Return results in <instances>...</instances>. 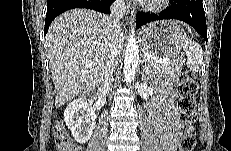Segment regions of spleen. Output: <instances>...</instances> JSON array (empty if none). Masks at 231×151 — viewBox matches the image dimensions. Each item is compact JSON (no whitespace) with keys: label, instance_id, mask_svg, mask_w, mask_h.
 Instances as JSON below:
<instances>
[{"label":"spleen","instance_id":"3e777b00","mask_svg":"<svg viewBox=\"0 0 231 151\" xmlns=\"http://www.w3.org/2000/svg\"><path fill=\"white\" fill-rule=\"evenodd\" d=\"M179 39L187 56V67L191 72H197L203 63V50L201 46L190 39L185 33L179 36Z\"/></svg>","mask_w":231,"mask_h":151}]
</instances>
